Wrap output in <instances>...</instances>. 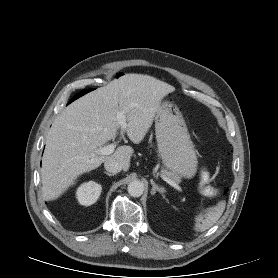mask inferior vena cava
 I'll use <instances>...</instances> for the list:
<instances>
[{
    "label": "inferior vena cava",
    "instance_id": "602c4592",
    "mask_svg": "<svg viewBox=\"0 0 278 278\" xmlns=\"http://www.w3.org/2000/svg\"><path fill=\"white\" fill-rule=\"evenodd\" d=\"M104 167L108 172H111L113 174L120 172L123 169V166L121 163L115 161V160H107L104 162Z\"/></svg>",
    "mask_w": 278,
    "mask_h": 278
}]
</instances>
